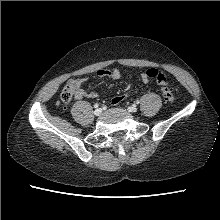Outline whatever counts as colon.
Instances as JSON below:
<instances>
[{
	"mask_svg": "<svg viewBox=\"0 0 220 220\" xmlns=\"http://www.w3.org/2000/svg\"><path fill=\"white\" fill-rule=\"evenodd\" d=\"M147 78L155 79L157 83L161 86V92L164 97L165 102L173 103L174 95L171 88L169 87V81L165 74L156 68H149L144 73ZM73 96V89L71 86L65 87L60 94V103L63 106H67Z\"/></svg>",
	"mask_w": 220,
	"mask_h": 220,
	"instance_id": "obj_1",
	"label": "colon"
}]
</instances>
